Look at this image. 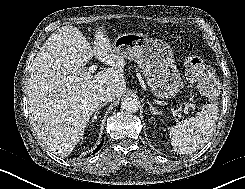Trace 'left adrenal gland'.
Wrapping results in <instances>:
<instances>
[{"label":"left adrenal gland","mask_w":245,"mask_h":189,"mask_svg":"<svg viewBox=\"0 0 245 189\" xmlns=\"http://www.w3.org/2000/svg\"><path fill=\"white\" fill-rule=\"evenodd\" d=\"M148 104L150 106V111L152 112V114H161L162 112L161 111H158V109L154 106H152V104L148 101Z\"/></svg>","instance_id":"1"}]
</instances>
